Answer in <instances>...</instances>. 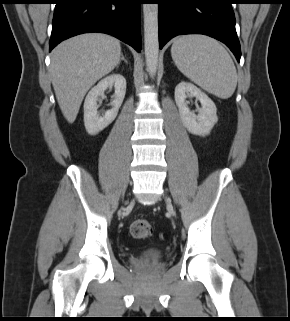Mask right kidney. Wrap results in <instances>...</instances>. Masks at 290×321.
Wrapping results in <instances>:
<instances>
[{"label": "right kidney", "instance_id": "1", "mask_svg": "<svg viewBox=\"0 0 290 321\" xmlns=\"http://www.w3.org/2000/svg\"><path fill=\"white\" fill-rule=\"evenodd\" d=\"M109 87L115 88L111 102L112 108L106 111L103 116H100L97 111V100ZM125 93L126 79L121 74H111L105 77L89 91L84 102V125L89 134L95 135L99 133L114 121L124 100Z\"/></svg>", "mask_w": 290, "mask_h": 321}]
</instances>
